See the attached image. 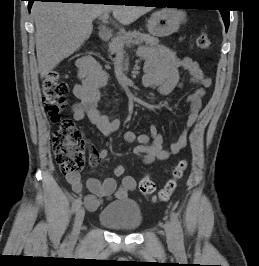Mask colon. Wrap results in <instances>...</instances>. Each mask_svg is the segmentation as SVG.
Instances as JSON below:
<instances>
[{
    "label": "colon",
    "mask_w": 259,
    "mask_h": 266,
    "mask_svg": "<svg viewBox=\"0 0 259 266\" xmlns=\"http://www.w3.org/2000/svg\"><path fill=\"white\" fill-rule=\"evenodd\" d=\"M196 44L200 49L206 50L211 42L208 33L201 30L196 37ZM43 105L46 114L57 124V130L53 136V150L55 160L62 173L66 175L78 173L84 166V148L86 140L77 129L72 120L63 117L67 107L66 96L68 85L65 77L58 71H51L45 77L43 87ZM188 163L186 160L178 161L171 171L170 178L164 186L154 195L156 186L149 174L143 176L139 182L140 192L146 196H152L153 201H167L175 191L178 181L183 177ZM125 168L118 165L114 169L117 176H122Z\"/></svg>",
    "instance_id": "1"
}]
</instances>
